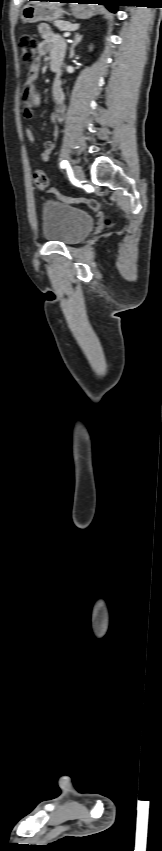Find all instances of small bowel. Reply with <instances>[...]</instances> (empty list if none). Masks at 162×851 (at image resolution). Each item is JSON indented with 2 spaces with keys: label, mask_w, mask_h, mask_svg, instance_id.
I'll return each instance as SVG.
<instances>
[{
  "label": "small bowel",
  "mask_w": 162,
  "mask_h": 851,
  "mask_svg": "<svg viewBox=\"0 0 162 851\" xmlns=\"http://www.w3.org/2000/svg\"><path fill=\"white\" fill-rule=\"evenodd\" d=\"M39 33L42 37V40L38 44V55L39 56H48L50 62L52 60H56L60 63L63 62L64 53H65V43L64 41L50 28V26L46 23H41L38 27ZM40 68L39 58L35 60L33 65L29 68L27 78L24 84L22 100H23V115L27 120H32L34 117V109L40 105V97L35 89L34 82L37 79ZM52 96L56 103L55 110L50 116V122L52 124L62 123L65 115V104H64V92L61 87L60 78L57 77L52 86ZM25 135L28 140L32 143L35 142V136L33 131L29 128H25ZM54 140L58 137V131L55 130L53 132ZM46 141L43 145V149L40 153V159L42 162H48L50 159V155L55 149V141Z\"/></svg>",
  "instance_id": "obj_1"
}]
</instances>
